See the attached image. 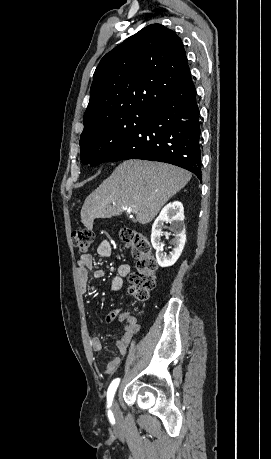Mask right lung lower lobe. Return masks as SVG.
I'll return each instance as SVG.
<instances>
[{
	"label": "right lung lower lobe",
	"instance_id": "obj_1",
	"mask_svg": "<svg viewBox=\"0 0 271 459\" xmlns=\"http://www.w3.org/2000/svg\"><path fill=\"white\" fill-rule=\"evenodd\" d=\"M196 89L190 82L156 104L153 113L106 160L170 163L201 176V128Z\"/></svg>",
	"mask_w": 271,
	"mask_h": 459
}]
</instances>
